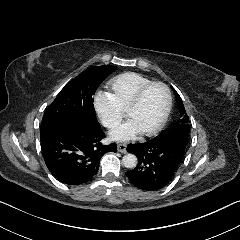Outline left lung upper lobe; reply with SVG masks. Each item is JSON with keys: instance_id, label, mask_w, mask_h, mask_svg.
I'll use <instances>...</instances> for the list:
<instances>
[{"instance_id": "1", "label": "left lung upper lobe", "mask_w": 240, "mask_h": 240, "mask_svg": "<svg viewBox=\"0 0 240 240\" xmlns=\"http://www.w3.org/2000/svg\"><path fill=\"white\" fill-rule=\"evenodd\" d=\"M175 97L177 100V107L180 112L179 120L172 124V126L169 129L162 131L157 137H178L188 141L189 117L186 114L181 97L176 92Z\"/></svg>"}]
</instances>
